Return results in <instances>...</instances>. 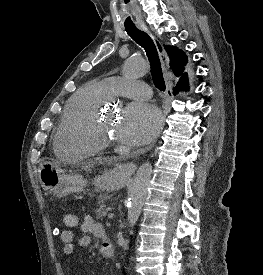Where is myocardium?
Returning a JSON list of instances; mask_svg holds the SVG:
<instances>
[{
  "label": "myocardium",
  "mask_w": 263,
  "mask_h": 275,
  "mask_svg": "<svg viewBox=\"0 0 263 275\" xmlns=\"http://www.w3.org/2000/svg\"><path fill=\"white\" fill-rule=\"evenodd\" d=\"M102 118V111H97L87 121L81 131L82 140L98 151L114 147L117 144L116 138L110 137L104 133Z\"/></svg>",
  "instance_id": "myocardium-1"
}]
</instances>
